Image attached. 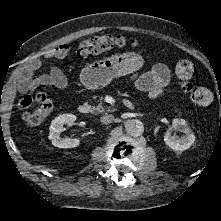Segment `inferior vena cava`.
<instances>
[{"mask_svg": "<svg viewBox=\"0 0 221 221\" xmlns=\"http://www.w3.org/2000/svg\"><path fill=\"white\" fill-rule=\"evenodd\" d=\"M114 120V116L111 114H106L100 118L101 123L109 124Z\"/></svg>", "mask_w": 221, "mask_h": 221, "instance_id": "inferior-vena-cava-1", "label": "inferior vena cava"}]
</instances>
